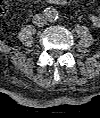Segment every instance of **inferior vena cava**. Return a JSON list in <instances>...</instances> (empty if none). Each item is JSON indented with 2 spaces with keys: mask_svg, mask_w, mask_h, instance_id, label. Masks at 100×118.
Listing matches in <instances>:
<instances>
[{
  "mask_svg": "<svg viewBox=\"0 0 100 118\" xmlns=\"http://www.w3.org/2000/svg\"><path fill=\"white\" fill-rule=\"evenodd\" d=\"M32 22L34 25H36L38 27H43L44 25H46L47 19L44 16V14H35L33 16Z\"/></svg>",
  "mask_w": 100,
  "mask_h": 118,
  "instance_id": "1",
  "label": "inferior vena cava"
}]
</instances>
